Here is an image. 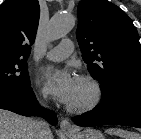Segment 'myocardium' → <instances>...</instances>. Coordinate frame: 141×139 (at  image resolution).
Returning <instances> with one entry per match:
<instances>
[{
  "mask_svg": "<svg viewBox=\"0 0 141 139\" xmlns=\"http://www.w3.org/2000/svg\"><path fill=\"white\" fill-rule=\"evenodd\" d=\"M79 81L85 82L91 89V96L89 100L80 105L67 104L66 108L69 112L83 114L94 110L101 103L103 99V88L100 82L89 74H82L76 78Z\"/></svg>",
  "mask_w": 141,
  "mask_h": 139,
  "instance_id": "obj_1",
  "label": "myocardium"
}]
</instances>
